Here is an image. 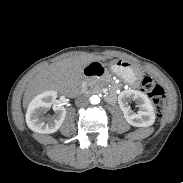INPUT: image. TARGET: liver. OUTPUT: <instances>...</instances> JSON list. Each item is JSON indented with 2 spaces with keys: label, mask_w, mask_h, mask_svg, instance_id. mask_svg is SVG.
<instances>
[{
  "label": "liver",
  "mask_w": 183,
  "mask_h": 183,
  "mask_svg": "<svg viewBox=\"0 0 183 183\" xmlns=\"http://www.w3.org/2000/svg\"><path fill=\"white\" fill-rule=\"evenodd\" d=\"M102 56L83 54L69 57L49 65L29 83L24 94L26 107L37 94L48 90L63 91L68 86H77L83 77L84 68L95 60H105Z\"/></svg>",
  "instance_id": "obj_1"
}]
</instances>
